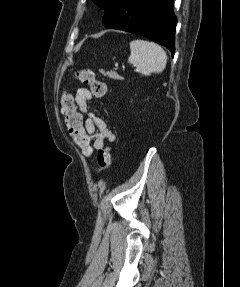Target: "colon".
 <instances>
[{
    "label": "colon",
    "mask_w": 240,
    "mask_h": 287,
    "mask_svg": "<svg viewBox=\"0 0 240 287\" xmlns=\"http://www.w3.org/2000/svg\"><path fill=\"white\" fill-rule=\"evenodd\" d=\"M74 77L81 83L88 85L95 97H103L107 93L106 84L97 80L94 73L89 69H80L76 71ZM60 103L72 139L85 155L90 156L93 152V148L90 144V136L84 128L83 119L76 109L74 98L71 94L64 92L61 96ZM111 158L110 147L106 146L97 150L98 173H104L109 169Z\"/></svg>",
    "instance_id": "obj_1"
}]
</instances>
